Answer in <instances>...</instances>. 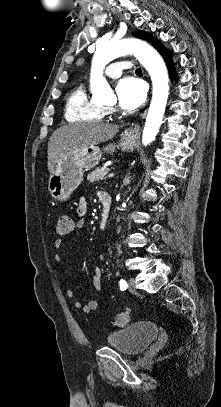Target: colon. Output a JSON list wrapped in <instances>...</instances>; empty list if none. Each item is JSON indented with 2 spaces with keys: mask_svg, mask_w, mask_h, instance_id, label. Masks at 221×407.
<instances>
[{
  "mask_svg": "<svg viewBox=\"0 0 221 407\" xmlns=\"http://www.w3.org/2000/svg\"><path fill=\"white\" fill-rule=\"evenodd\" d=\"M56 233L60 236L67 235L73 228V222L69 215L61 214L56 221ZM129 323V312L123 311L114 317V325L118 328H124Z\"/></svg>",
  "mask_w": 221,
  "mask_h": 407,
  "instance_id": "colon-1",
  "label": "colon"
}]
</instances>
